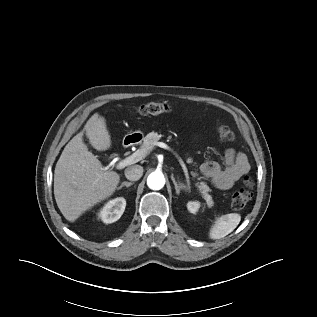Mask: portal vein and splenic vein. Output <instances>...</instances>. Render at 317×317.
Returning <instances> with one entry per match:
<instances>
[{
	"label": "portal vein and splenic vein",
	"mask_w": 317,
	"mask_h": 317,
	"mask_svg": "<svg viewBox=\"0 0 317 317\" xmlns=\"http://www.w3.org/2000/svg\"><path fill=\"white\" fill-rule=\"evenodd\" d=\"M155 145L173 152V154L178 159V161H179V163H180V165L185 173L186 179H189L188 168H187L185 162L182 160V158L170 146H168L167 144H165L163 142H157ZM146 155H147V153L145 150L139 149L136 152H134L131 156L118 162L117 168L122 169V168H125L126 166L137 163L140 160H142L143 158H145Z\"/></svg>",
	"instance_id": "portal-vein-and-splenic-vein-1"
}]
</instances>
